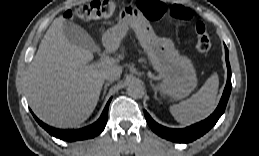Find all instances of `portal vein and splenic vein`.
I'll return each mask as SVG.
<instances>
[{"mask_svg": "<svg viewBox=\"0 0 259 156\" xmlns=\"http://www.w3.org/2000/svg\"><path fill=\"white\" fill-rule=\"evenodd\" d=\"M116 60L114 58L110 57H102L98 62L93 63L92 66L96 67H108V66H113L115 64Z\"/></svg>", "mask_w": 259, "mask_h": 156, "instance_id": "1", "label": "portal vein and splenic vein"}]
</instances>
